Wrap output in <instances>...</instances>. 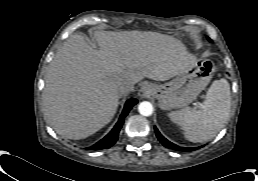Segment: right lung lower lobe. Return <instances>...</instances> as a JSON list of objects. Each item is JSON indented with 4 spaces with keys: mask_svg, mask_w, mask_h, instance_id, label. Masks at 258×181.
<instances>
[{
    "mask_svg": "<svg viewBox=\"0 0 258 181\" xmlns=\"http://www.w3.org/2000/svg\"><path fill=\"white\" fill-rule=\"evenodd\" d=\"M137 103L136 99H130L126 102L123 112L116 123L115 127L112 129V131L105 136L102 140L94 144L93 146L89 147L91 150H101V149H107L110 148L112 145L115 144V142L118 139L119 131L124 123V118L129 113L131 108Z\"/></svg>",
    "mask_w": 258,
    "mask_h": 181,
    "instance_id": "1",
    "label": "right lung lower lobe"
}]
</instances>
